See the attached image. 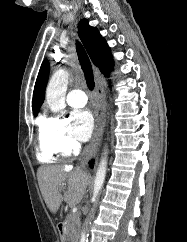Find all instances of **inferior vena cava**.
<instances>
[{
  "instance_id": "obj_1",
  "label": "inferior vena cava",
  "mask_w": 187,
  "mask_h": 242,
  "mask_svg": "<svg viewBox=\"0 0 187 242\" xmlns=\"http://www.w3.org/2000/svg\"><path fill=\"white\" fill-rule=\"evenodd\" d=\"M81 145L79 143H75L73 145L74 155H78L80 153Z\"/></svg>"
}]
</instances>
